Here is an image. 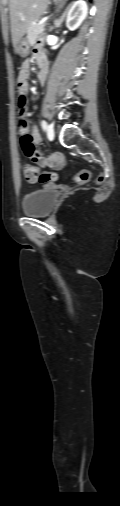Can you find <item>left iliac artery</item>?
I'll return each instance as SVG.
<instances>
[{"instance_id":"44dca946","label":"left iliac artery","mask_w":120,"mask_h":506,"mask_svg":"<svg viewBox=\"0 0 120 506\" xmlns=\"http://www.w3.org/2000/svg\"><path fill=\"white\" fill-rule=\"evenodd\" d=\"M41 126H42V129H43V130H45V129H46V127H47V123H46V121H45V120H42V122H41Z\"/></svg>"}]
</instances>
